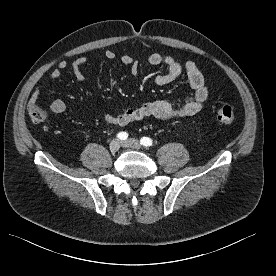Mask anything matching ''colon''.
Returning a JSON list of instances; mask_svg holds the SVG:
<instances>
[{"mask_svg": "<svg viewBox=\"0 0 276 276\" xmlns=\"http://www.w3.org/2000/svg\"><path fill=\"white\" fill-rule=\"evenodd\" d=\"M28 115L32 122L39 124L45 121L47 111L38 104H31L28 107ZM216 116L219 122L223 124H232L235 120V111L230 105L220 104L217 107Z\"/></svg>", "mask_w": 276, "mask_h": 276, "instance_id": "colon-1", "label": "colon"}]
</instances>
